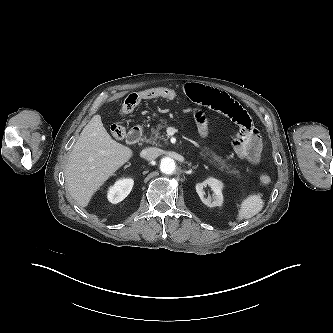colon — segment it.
Wrapping results in <instances>:
<instances>
[{
  "label": "colon",
  "instance_id": "1",
  "mask_svg": "<svg viewBox=\"0 0 333 333\" xmlns=\"http://www.w3.org/2000/svg\"><path fill=\"white\" fill-rule=\"evenodd\" d=\"M178 96V92L169 88H150L139 92L130 93L125 97L120 112L122 115L131 113L138 106V104L145 99L158 97L165 99H174ZM110 131L112 136L116 139H122L125 136L124 127L118 123L112 124L110 127ZM259 180L262 184L267 185L271 182V177L268 174H262Z\"/></svg>",
  "mask_w": 333,
  "mask_h": 333
}]
</instances>
